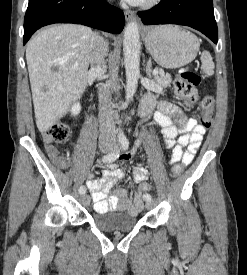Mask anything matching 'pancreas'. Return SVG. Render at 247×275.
Returning a JSON list of instances; mask_svg holds the SVG:
<instances>
[{
	"mask_svg": "<svg viewBox=\"0 0 247 275\" xmlns=\"http://www.w3.org/2000/svg\"><path fill=\"white\" fill-rule=\"evenodd\" d=\"M155 82L161 86L162 88H167L170 86V83L172 82V78L170 74H161L154 77Z\"/></svg>",
	"mask_w": 247,
	"mask_h": 275,
	"instance_id": "pancreas-1",
	"label": "pancreas"
}]
</instances>
